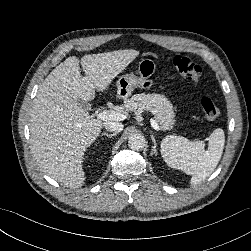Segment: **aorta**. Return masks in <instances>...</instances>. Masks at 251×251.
I'll use <instances>...</instances> for the list:
<instances>
[{
    "instance_id": "762f6f07",
    "label": "aorta",
    "mask_w": 251,
    "mask_h": 251,
    "mask_svg": "<svg viewBox=\"0 0 251 251\" xmlns=\"http://www.w3.org/2000/svg\"><path fill=\"white\" fill-rule=\"evenodd\" d=\"M128 145L133 150H142L145 146V138L141 134H132L129 136Z\"/></svg>"
}]
</instances>
